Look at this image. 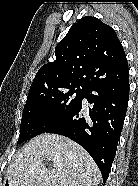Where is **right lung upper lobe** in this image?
<instances>
[{
  "label": "right lung upper lobe",
  "instance_id": "obj_1",
  "mask_svg": "<svg viewBox=\"0 0 138 186\" xmlns=\"http://www.w3.org/2000/svg\"><path fill=\"white\" fill-rule=\"evenodd\" d=\"M56 60L37 72L29 93L68 85L85 88L129 79L127 59L117 34L98 18L75 23L55 48ZM28 93V94H29Z\"/></svg>",
  "mask_w": 138,
  "mask_h": 186
}]
</instances>
